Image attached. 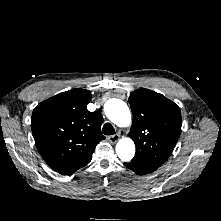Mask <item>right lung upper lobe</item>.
<instances>
[{
	"label": "right lung upper lobe",
	"instance_id": "1",
	"mask_svg": "<svg viewBox=\"0 0 221 221\" xmlns=\"http://www.w3.org/2000/svg\"><path fill=\"white\" fill-rule=\"evenodd\" d=\"M91 92L73 89L37 105L31 128L38 151L45 162L62 175H71L87 165L96 145L105 139L103 117L87 110Z\"/></svg>",
	"mask_w": 221,
	"mask_h": 221
}]
</instances>
